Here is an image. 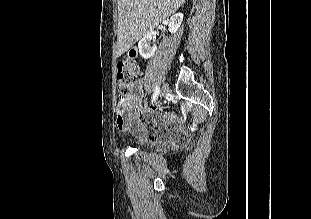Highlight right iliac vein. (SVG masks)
I'll list each match as a JSON object with an SVG mask.
<instances>
[{
    "mask_svg": "<svg viewBox=\"0 0 311 219\" xmlns=\"http://www.w3.org/2000/svg\"><path fill=\"white\" fill-rule=\"evenodd\" d=\"M167 92H168V85L164 83L161 88V95L164 96Z\"/></svg>",
    "mask_w": 311,
    "mask_h": 219,
    "instance_id": "63e3f726",
    "label": "right iliac vein"
}]
</instances>
